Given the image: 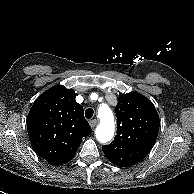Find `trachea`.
<instances>
[{
  "instance_id": "trachea-1",
  "label": "trachea",
  "mask_w": 194,
  "mask_h": 194,
  "mask_svg": "<svg viewBox=\"0 0 194 194\" xmlns=\"http://www.w3.org/2000/svg\"><path fill=\"white\" fill-rule=\"evenodd\" d=\"M93 113H94L93 109L92 108H88L85 111V117L87 119H91L93 117Z\"/></svg>"
}]
</instances>
